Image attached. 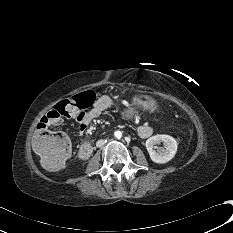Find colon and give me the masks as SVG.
<instances>
[{
	"label": "colon",
	"mask_w": 233,
	"mask_h": 233,
	"mask_svg": "<svg viewBox=\"0 0 233 233\" xmlns=\"http://www.w3.org/2000/svg\"><path fill=\"white\" fill-rule=\"evenodd\" d=\"M96 98V90H86L63 101L58 108L62 114L67 108L85 112L94 104ZM33 148L44 167L57 170L69 157L71 142L64 133L50 132L47 127L39 124L33 138Z\"/></svg>",
	"instance_id": "1"
}]
</instances>
